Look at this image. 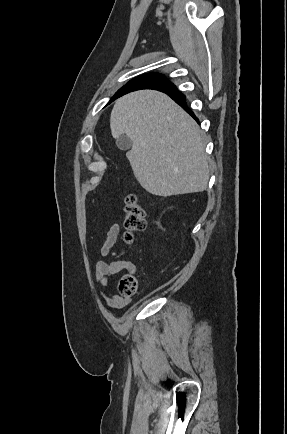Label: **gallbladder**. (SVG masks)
Here are the masks:
<instances>
[{"label": "gallbladder", "mask_w": 287, "mask_h": 434, "mask_svg": "<svg viewBox=\"0 0 287 434\" xmlns=\"http://www.w3.org/2000/svg\"><path fill=\"white\" fill-rule=\"evenodd\" d=\"M116 145L120 150L125 151L131 148L132 142L126 134H122L116 139Z\"/></svg>", "instance_id": "gallbladder-1"}]
</instances>
